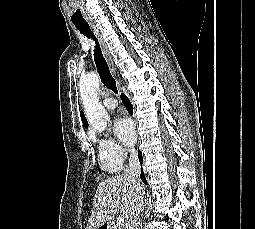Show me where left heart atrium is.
Here are the masks:
<instances>
[{
  "mask_svg": "<svg viewBox=\"0 0 255 229\" xmlns=\"http://www.w3.org/2000/svg\"><path fill=\"white\" fill-rule=\"evenodd\" d=\"M114 132L126 145H132L136 140L135 126L127 117H120L115 121Z\"/></svg>",
  "mask_w": 255,
  "mask_h": 229,
  "instance_id": "1",
  "label": "left heart atrium"
}]
</instances>
